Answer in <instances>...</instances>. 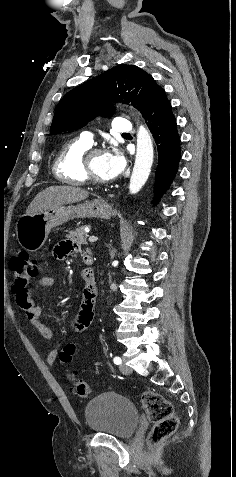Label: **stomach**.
Here are the masks:
<instances>
[{
	"mask_svg": "<svg viewBox=\"0 0 236 477\" xmlns=\"http://www.w3.org/2000/svg\"><path fill=\"white\" fill-rule=\"evenodd\" d=\"M112 208L102 199L77 205H59L38 214H25L16 223V235L22 248L38 251L48 239L51 229L74 218L97 217L109 219Z\"/></svg>",
	"mask_w": 236,
	"mask_h": 477,
	"instance_id": "0dacf381",
	"label": "stomach"
}]
</instances>
